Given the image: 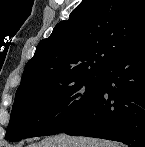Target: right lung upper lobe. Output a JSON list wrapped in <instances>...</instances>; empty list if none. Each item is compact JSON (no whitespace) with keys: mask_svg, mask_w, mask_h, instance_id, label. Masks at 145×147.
Segmentation results:
<instances>
[{"mask_svg":"<svg viewBox=\"0 0 145 147\" xmlns=\"http://www.w3.org/2000/svg\"><path fill=\"white\" fill-rule=\"evenodd\" d=\"M144 34L145 0H82L67 21L39 42L16 94L57 89L77 77L101 73Z\"/></svg>","mask_w":145,"mask_h":147,"instance_id":"1","label":"right lung upper lobe"}]
</instances>
